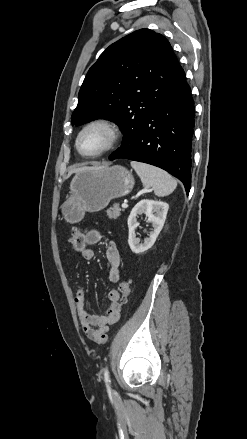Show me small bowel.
<instances>
[{"label": "small bowel", "instance_id": "small-bowel-1", "mask_svg": "<svg viewBox=\"0 0 247 439\" xmlns=\"http://www.w3.org/2000/svg\"><path fill=\"white\" fill-rule=\"evenodd\" d=\"M103 238V234L96 228H91L85 231L86 245H95ZM93 250L85 247L80 252L83 260H90L93 258ZM106 259L108 262V276L112 283H117L120 280V254L115 242L110 241L106 247ZM109 305L107 310L102 315H92L88 313L85 307V293L79 289L74 297L75 306L77 309L78 318L82 330L86 337L93 342L102 344L107 341L109 326L119 320L121 312V293L119 290H111L108 294Z\"/></svg>", "mask_w": 247, "mask_h": 439}]
</instances>
